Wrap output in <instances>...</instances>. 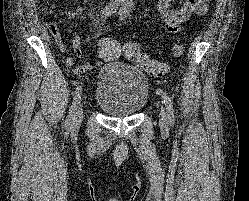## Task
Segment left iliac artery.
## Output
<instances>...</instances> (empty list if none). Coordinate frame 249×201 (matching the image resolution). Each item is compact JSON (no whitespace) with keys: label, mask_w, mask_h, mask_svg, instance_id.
I'll list each match as a JSON object with an SVG mask.
<instances>
[{"label":"left iliac artery","mask_w":249,"mask_h":201,"mask_svg":"<svg viewBox=\"0 0 249 201\" xmlns=\"http://www.w3.org/2000/svg\"><path fill=\"white\" fill-rule=\"evenodd\" d=\"M132 5H133L132 0H125L124 1L122 7L119 10V17L121 20L124 19L126 17V15L130 12ZM162 97H163L164 104H165L166 109H167L169 122H170V124L173 125L174 124L173 104H172L169 96L166 94V92H163Z\"/></svg>","instance_id":"left-iliac-artery-1"}]
</instances>
